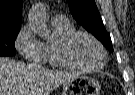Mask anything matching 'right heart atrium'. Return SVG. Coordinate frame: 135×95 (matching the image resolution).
<instances>
[{
	"label": "right heart atrium",
	"instance_id": "1",
	"mask_svg": "<svg viewBox=\"0 0 135 95\" xmlns=\"http://www.w3.org/2000/svg\"><path fill=\"white\" fill-rule=\"evenodd\" d=\"M15 47L28 61L42 63L46 59L45 45L35 36L30 25H25L19 30Z\"/></svg>",
	"mask_w": 135,
	"mask_h": 95
}]
</instances>
